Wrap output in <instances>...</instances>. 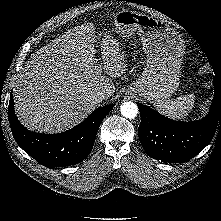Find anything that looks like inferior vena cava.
Segmentation results:
<instances>
[{"instance_id":"602c4592","label":"inferior vena cava","mask_w":221,"mask_h":221,"mask_svg":"<svg viewBox=\"0 0 221 221\" xmlns=\"http://www.w3.org/2000/svg\"><path fill=\"white\" fill-rule=\"evenodd\" d=\"M107 98V94L105 91H96L92 94V99L97 103L105 100Z\"/></svg>"}]
</instances>
